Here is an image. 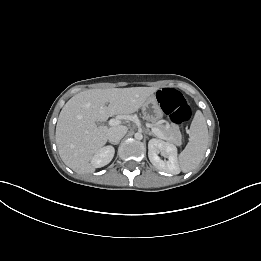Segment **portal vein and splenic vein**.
Listing matches in <instances>:
<instances>
[{
    "instance_id": "1",
    "label": "portal vein and splenic vein",
    "mask_w": 261,
    "mask_h": 261,
    "mask_svg": "<svg viewBox=\"0 0 261 261\" xmlns=\"http://www.w3.org/2000/svg\"><path fill=\"white\" fill-rule=\"evenodd\" d=\"M120 123H121V121H120L119 119H117V118H113V119H110V120H109V125H110V126H117V125H119ZM152 131H153V133H154L156 136L162 137V133H161V131H160L159 129L153 128Z\"/></svg>"
}]
</instances>
